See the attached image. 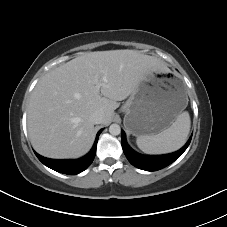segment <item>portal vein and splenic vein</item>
I'll use <instances>...</instances> for the list:
<instances>
[{
    "label": "portal vein and splenic vein",
    "instance_id": "1",
    "mask_svg": "<svg viewBox=\"0 0 227 227\" xmlns=\"http://www.w3.org/2000/svg\"><path fill=\"white\" fill-rule=\"evenodd\" d=\"M99 87H100V86H99V85H97V88H98V89H99Z\"/></svg>",
    "mask_w": 227,
    "mask_h": 227
}]
</instances>
